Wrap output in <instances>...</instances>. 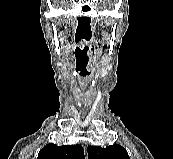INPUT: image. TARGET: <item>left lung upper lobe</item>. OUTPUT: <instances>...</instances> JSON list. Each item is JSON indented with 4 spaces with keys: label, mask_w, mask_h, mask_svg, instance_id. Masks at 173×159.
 <instances>
[{
    "label": "left lung upper lobe",
    "mask_w": 173,
    "mask_h": 159,
    "mask_svg": "<svg viewBox=\"0 0 173 159\" xmlns=\"http://www.w3.org/2000/svg\"><path fill=\"white\" fill-rule=\"evenodd\" d=\"M88 159H130L127 151L120 145L114 144L101 148L99 146H88Z\"/></svg>",
    "instance_id": "1"
}]
</instances>
